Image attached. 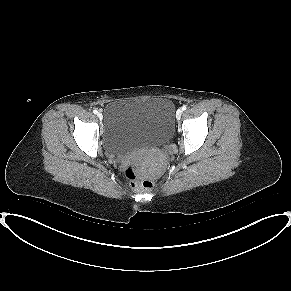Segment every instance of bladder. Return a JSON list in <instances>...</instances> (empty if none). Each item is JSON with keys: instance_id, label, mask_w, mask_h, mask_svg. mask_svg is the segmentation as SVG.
I'll list each match as a JSON object with an SVG mask.
<instances>
[{"instance_id": "1", "label": "bladder", "mask_w": 291, "mask_h": 291, "mask_svg": "<svg viewBox=\"0 0 291 291\" xmlns=\"http://www.w3.org/2000/svg\"><path fill=\"white\" fill-rule=\"evenodd\" d=\"M102 115L104 147L116 155L162 145L174 132V105L164 97L117 100Z\"/></svg>"}]
</instances>
